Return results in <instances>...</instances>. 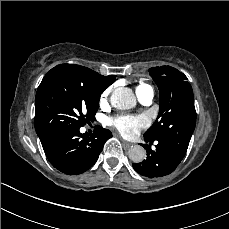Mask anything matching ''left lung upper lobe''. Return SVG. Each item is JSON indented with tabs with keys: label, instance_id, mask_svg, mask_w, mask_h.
I'll use <instances>...</instances> for the list:
<instances>
[{
	"label": "left lung upper lobe",
	"instance_id": "1",
	"mask_svg": "<svg viewBox=\"0 0 229 229\" xmlns=\"http://www.w3.org/2000/svg\"><path fill=\"white\" fill-rule=\"evenodd\" d=\"M160 93L159 114L144 138L168 142L186 152L196 123L194 95L187 77L171 66L149 69Z\"/></svg>",
	"mask_w": 229,
	"mask_h": 229
}]
</instances>
